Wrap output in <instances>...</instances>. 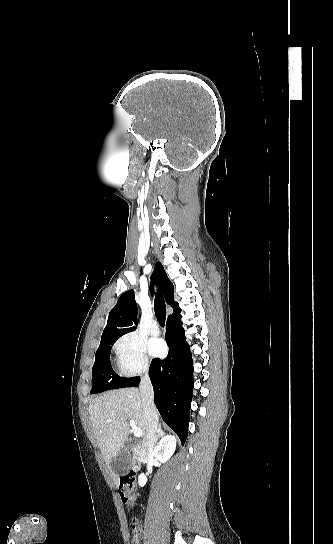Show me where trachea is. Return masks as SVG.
<instances>
[{"mask_svg":"<svg viewBox=\"0 0 333 544\" xmlns=\"http://www.w3.org/2000/svg\"><path fill=\"white\" fill-rule=\"evenodd\" d=\"M154 309L157 321L161 326L165 325L166 305L161 293H157L154 302Z\"/></svg>","mask_w":333,"mask_h":544,"instance_id":"1","label":"trachea"}]
</instances>
